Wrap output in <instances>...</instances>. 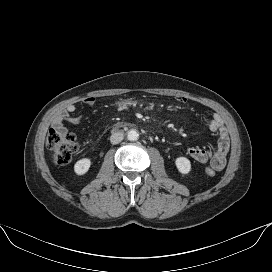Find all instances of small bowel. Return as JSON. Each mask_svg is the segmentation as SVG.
<instances>
[{
  "label": "small bowel",
  "mask_w": 272,
  "mask_h": 272,
  "mask_svg": "<svg viewBox=\"0 0 272 272\" xmlns=\"http://www.w3.org/2000/svg\"><path fill=\"white\" fill-rule=\"evenodd\" d=\"M176 101L179 103H186L187 98L184 96H177ZM84 104L92 107L95 104L94 97H87L84 99ZM76 110L75 105L69 104L53 120L52 126L60 133H67L65 127L66 122L79 123L82 116H74L72 113ZM208 129L218 135L217 144L211 149L190 147L187 150L188 155L198 163H210V166L216 170H222L227 161V153L230 147V138L228 131L223 123L222 118L215 114L206 123Z\"/></svg>",
  "instance_id": "obj_1"
}]
</instances>
